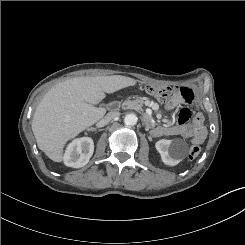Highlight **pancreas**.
I'll return each instance as SVG.
<instances>
[{"label": "pancreas", "instance_id": "1", "mask_svg": "<svg viewBox=\"0 0 245 245\" xmlns=\"http://www.w3.org/2000/svg\"><path fill=\"white\" fill-rule=\"evenodd\" d=\"M144 101L142 99H136V100H125L123 102L119 103V106L122 109H134V110H141L143 106Z\"/></svg>", "mask_w": 245, "mask_h": 245}]
</instances>
